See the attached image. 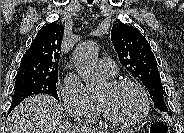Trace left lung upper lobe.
<instances>
[{
    "label": "left lung upper lobe",
    "instance_id": "1",
    "mask_svg": "<svg viewBox=\"0 0 184 133\" xmlns=\"http://www.w3.org/2000/svg\"><path fill=\"white\" fill-rule=\"evenodd\" d=\"M111 40L121 64L143 82L154 106L160 111H168L157 61L146 38L137 28L120 22L113 25Z\"/></svg>",
    "mask_w": 184,
    "mask_h": 133
}]
</instances>
